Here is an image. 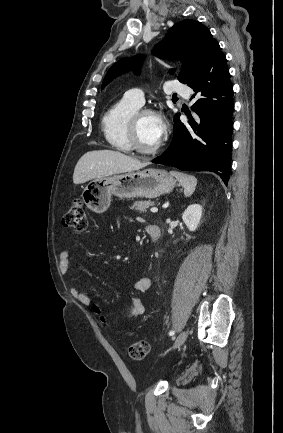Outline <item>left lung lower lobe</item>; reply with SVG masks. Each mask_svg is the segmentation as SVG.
Listing matches in <instances>:
<instances>
[{"label":"left lung lower lobe","mask_w":283,"mask_h":433,"mask_svg":"<svg viewBox=\"0 0 283 433\" xmlns=\"http://www.w3.org/2000/svg\"><path fill=\"white\" fill-rule=\"evenodd\" d=\"M197 95L189 121L174 117L171 144L164 153L152 160L184 171H211L225 185L231 174L233 89L226 57L217 43L213 44L197 63L185 83Z\"/></svg>","instance_id":"left-lung-lower-lobe-1"}]
</instances>
